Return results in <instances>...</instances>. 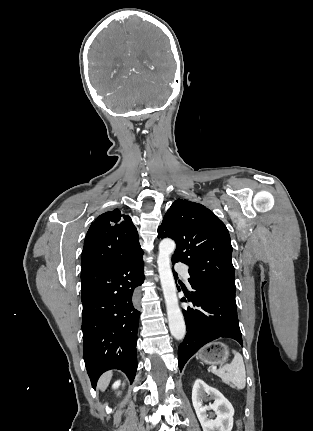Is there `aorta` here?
<instances>
[{"instance_id":"obj_1","label":"aorta","mask_w":313,"mask_h":431,"mask_svg":"<svg viewBox=\"0 0 313 431\" xmlns=\"http://www.w3.org/2000/svg\"><path fill=\"white\" fill-rule=\"evenodd\" d=\"M175 247L176 245L173 240L168 238L163 239L159 244L157 264L166 303L170 332L176 340H182L186 334V326L178 304L177 289L171 270L170 259Z\"/></svg>"}]
</instances>
